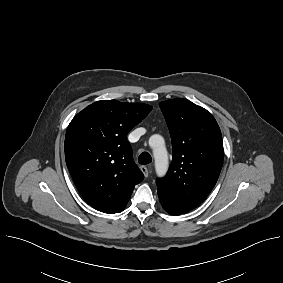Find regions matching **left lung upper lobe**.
<instances>
[{
	"mask_svg": "<svg viewBox=\"0 0 283 283\" xmlns=\"http://www.w3.org/2000/svg\"><path fill=\"white\" fill-rule=\"evenodd\" d=\"M172 139V162L157 180L158 193L180 213L202 203L216 184L223 164L220 128L206 109L187 99L159 103Z\"/></svg>",
	"mask_w": 283,
	"mask_h": 283,
	"instance_id": "obj_1",
	"label": "left lung upper lobe"
}]
</instances>
